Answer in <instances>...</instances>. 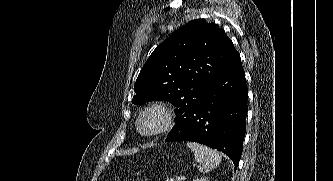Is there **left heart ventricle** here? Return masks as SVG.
<instances>
[{
  "instance_id": "obj_1",
  "label": "left heart ventricle",
  "mask_w": 333,
  "mask_h": 181,
  "mask_svg": "<svg viewBox=\"0 0 333 181\" xmlns=\"http://www.w3.org/2000/svg\"><path fill=\"white\" fill-rule=\"evenodd\" d=\"M157 118L155 116H148L142 121V127L144 129H151L157 125Z\"/></svg>"
}]
</instances>
